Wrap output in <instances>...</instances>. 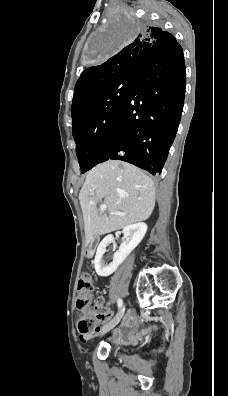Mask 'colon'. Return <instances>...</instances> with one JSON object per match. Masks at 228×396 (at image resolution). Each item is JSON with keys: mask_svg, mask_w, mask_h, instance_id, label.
Wrapping results in <instances>:
<instances>
[{"mask_svg": "<svg viewBox=\"0 0 228 396\" xmlns=\"http://www.w3.org/2000/svg\"><path fill=\"white\" fill-rule=\"evenodd\" d=\"M94 291V283L88 274H83L77 284V308L81 311L78 320V328L81 334H88L95 328L97 321V309L101 306V302L97 301L92 304V293Z\"/></svg>", "mask_w": 228, "mask_h": 396, "instance_id": "5ec220e1", "label": "colon"}]
</instances>
